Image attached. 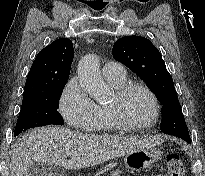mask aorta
I'll return each instance as SVG.
<instances>
[{
  "label": "aorta",
  "mask_w": 205,
  "mask_h": 176,
  "mask_svg": "<svg viewBox=\"0 0 205 176\" xmlns=\"http://www.w3.org/2000/svg\"><path fill=\"white\" fill-rule=\"evenodd\" d=\"M78 79L81 87L96 100L106 97L107 87L99 69L97 56L89 54L84 56L78 64Z\"/></svg>",
  "instance_id": "762f6f07"
}]
</instances>
